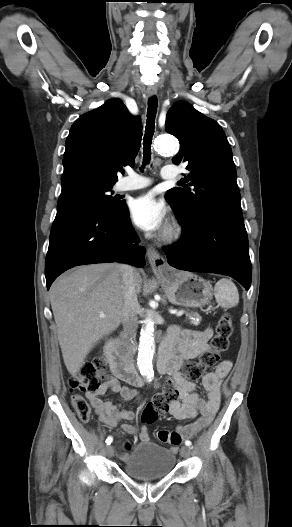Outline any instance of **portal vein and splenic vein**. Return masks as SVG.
I'll use <instances>...</instances> for the list:
<instances>
[{"instance_id":"1","label":"portal vein and splenic vein","mask_w":292,"mask_h":527,"mask_svg":"<svg viewBox=\"0 0 292 527\" xmlns=\"http://www.w3.org/2000/svg\"><path fill=\"white\" fill-rule=\"evenodd\" d=\"M184 313H185L184 310H180V311H178V312L176 313V315H177V316H182ZM100 317H101V318H105V315H104V314H100Z\"/></svg>"}]
</instances>
